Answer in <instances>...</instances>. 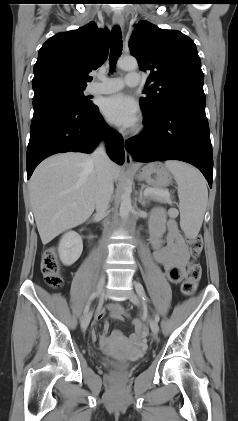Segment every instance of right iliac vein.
<instances>
[{
    "instance_id": "obj_1",
    "label": "right iliac vein",
    "mask_w": 238,
    "mask_h": 421,
    "mask_svg": "<svg viewBox=\"0 0 238 421\" xmlns=\"http://www.w3.org/2000/svg\"><path fill=\"white\" fill-rule=\"evenodd\" d=\"M105 281H106V275L103 273L101 275V277L99 279V282H98V285H97V292H98L99 295L102 293V291L104 289ZM91 317H92V312L90 311L82 318L81 327H82L83 330L87 329V327L90 323Z\"/></svg>"
}]
</instances>
